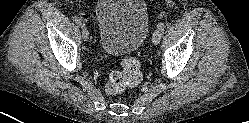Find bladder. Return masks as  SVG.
<instances>
[{
  "label": "bladder",
  "instance_id": "1",
  "mask_svg": "<svg viewBox=\"0 0 249 123\" xmlns=\"http://www.w3.org/2000/svg\"><path fill=\"white\" fill-rule=\"evenodd\" d=\"M95 18L100 47L113 56L136 51L149 31L144 0H99Z\"/></svg>",
  "mask_w": 249,
  "mask_h": 123
}]
</instances>
